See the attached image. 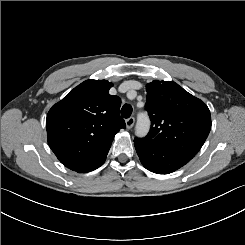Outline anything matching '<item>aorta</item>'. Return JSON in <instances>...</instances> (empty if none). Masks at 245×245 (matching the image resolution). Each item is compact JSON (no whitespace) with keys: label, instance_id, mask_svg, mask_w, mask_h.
Wrapping results in <instances>:
<instances>
[{"label":"aorta","instance_id":"762f6f07","mask_svg":"<svg viewBox=\"0 0 245 245\" xmlns=\"http://www.w3.org/2000/svg\"><path fill=\"white\" fill-rule=\"evenodd\" d=\"M150 127V120L147 115H141L138 117V123L136 125V135L145 136Z\"/></svg>","mask_w":245,"mask_h":245}]
</instances>
